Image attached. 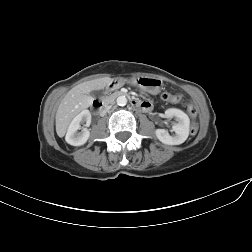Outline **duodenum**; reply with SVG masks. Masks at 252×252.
<instances>
[{
    "label": "duodenum",
    "instance_id": "duodenum-1",
    "mask_svg": "<svg viewBox=\"0 0 252 252\" xmlns=\"http://www.w3.org/2000/svg\"><path fill=\"white\" fill-rule=\"evenodd\" d=\"M118 85L119 83L117 81H112L109 83L107 90L112 92L118 87ZM131 105L137 109H142V102L138 100L132 99ZM92 106L94 112L97 114L103 113L105 111L104 105L99 100L94 101Z\"/></svg>",
    "mask_w": 252,
    "mask_h": 252
}]
</instances>
